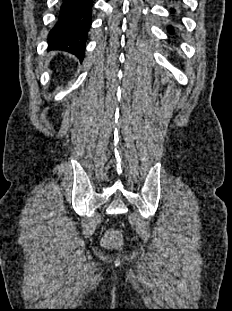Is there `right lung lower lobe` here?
<instances>
[{
  "instance_id": "1",
  "label": "right lung lower lobe",
  "mask_w": 232,
  "mask_h": 311,
  "mask_svg": "<svg viewBox=\"0 0 232 311\" xmlns=\"http://www.w3.org/2000/svg\"><path fill=\"white\" fill-rule=\"evenodd\" d=\"M92 7L93 0H62L58 20L49 33V46L83 59Z\"/></svg>"
}]
</instances>
